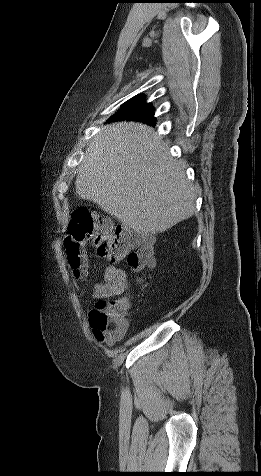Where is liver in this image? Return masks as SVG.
Wrapping results in <instances>:
<instances>
[{
  "label": "liver",
  "instance_id": "1",
  "mask_svg": "<svg viewBox=\"0 0 261 476\" xmlns=\"http://www.w3.org/2000/svg\"><path fill=\"white\" fill-rule=\"evenodd\" d=\"M138 122H116L90 142L76 193L137 233L164 232L195 212V187L168 146Z\"/></svg>",
  "mask_w": 261,
  "mask_h": 476
}]
</instances>
